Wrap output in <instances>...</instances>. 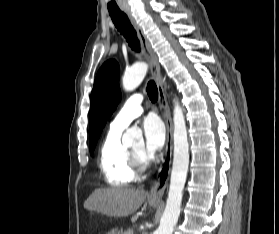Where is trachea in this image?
<instances>
[{
    "mask_svg": "<svg viewBox=\"0 0 279 234\" xmlns=\"http://www.w3.org/2000/svg\"><path fill=\"white\" fill-rule=\"evenodd\" d=\"M111 19L115 24L118 31L126 38L129 46L132 50L140 51V42L137 38L136 31L131 25L127 15L123 12L110 13ZM147 94L152 102H156L158 99V89L154 81H149L147 84Z\"/></svg>",
    "mask_w": 279,
    "mask_h": 234,
    "instance_id": "3493384b",
    "label": "trachea"
}]
</instances>
